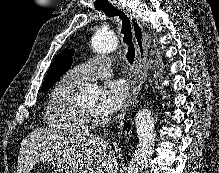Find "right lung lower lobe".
Segmentation results:
<instances>
[{
    "label": "right lung lower lobe",
    "instance_id": "1",
    "mask_svg": "<svg viewBox=\"0 0 219 173\" xmlns=\"http://www.w3.org/2000/svg\"><path fill=\"white\" fill-rule=\"evenodd\" d=\"M127 127L130 128V125L127 126V124H125V128H127Z\"/></svg>",
    "mask_w": 219,
    "mask_h": 173
}]
</instances>
